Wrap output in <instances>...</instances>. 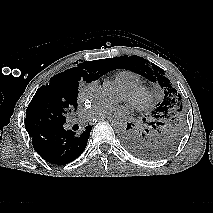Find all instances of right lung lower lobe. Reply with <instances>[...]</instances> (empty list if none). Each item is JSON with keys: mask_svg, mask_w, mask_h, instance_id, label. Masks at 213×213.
I'll list each match as a JSON object with an SVG mask.
<instances>
[{"mask_svg": "<svg viewBox=\"0 0 213 213\" xmlns=\"http://www.w3.org/2000/svg\"><path fill=\"white\" fill-rule=\"evenodd\" d=\"M92 126L76 134L65 130L64 124L50 126L33 136L32 144L36 152L47 162L64 165L74 161L85 150Z\"/></svg>", "mask_w": 213, "mask_h": 213, "instance_id": "98d812e1", "label": "right lung lower lobe"}]
</instances>
